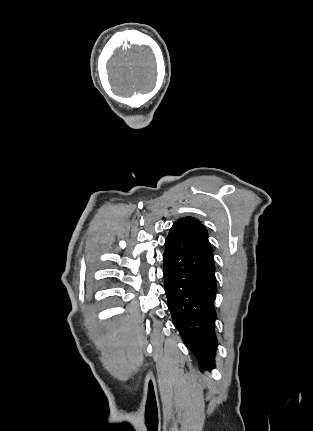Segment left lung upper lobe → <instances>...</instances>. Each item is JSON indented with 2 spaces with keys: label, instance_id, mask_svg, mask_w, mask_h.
<instances>
[{
  "label": "left lung upper lobe",
  "instance_id": "obj_1",
  "mask_svg": "<svg viewBox=\"0 0 313 431\" xmlns=\"http://www.w3.org/2000/svg\"><path fill=\"white\" fill-rule=\"evenodd\" d=\"M173 226L183 228L191 236L210 247L208 242V232L199 220L192 217H185L179 219Z\"/></svg>",
  "mask_w": 313,
  "mask_h": 431
}]
</instances>
